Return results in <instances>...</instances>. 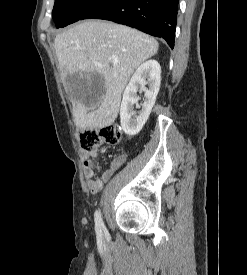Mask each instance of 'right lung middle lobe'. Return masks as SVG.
Segmentation results:
<instances>
[{
  "mask_svg": "<svg viewBox=\"0 0 247 275\" xmlns=\"http://www.w3.org/2000/svg\"><path fill=\"white\" fill-rule=\"evenodd\" d=\"M99 0H55L52 18L57 28L80 20L84 12Z\"/></svg>",
  "mask_w": 247,
  "mask_h": 275,
  "instance_id": "obj_1",
  "label": "right lung middle lobe"
}]
</instances>
